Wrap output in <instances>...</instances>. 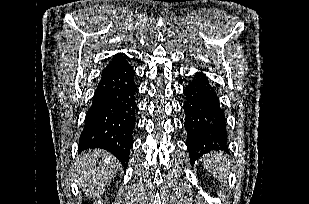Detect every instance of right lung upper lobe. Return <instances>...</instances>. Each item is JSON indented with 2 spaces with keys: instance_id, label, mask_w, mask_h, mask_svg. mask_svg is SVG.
Masks as SVG:
<instances>
[{
  "instance_id": "right-lung-upper-lobe-1",
  "label": "right lung upper lobe",
  "mask_w": 309,
  "mask_h": 204,
  "mask_svg": "<svg viewBox=\"0 0 309 204\" xmlns=\"http://www.w3.org/2000/svg\"><path fill=\"white\" fill-rule=\"evenodd\" d=\"M129 65L127 56L121 53L113 56L111 62L104 68L102 74Z\"/></svg>"
}]
</instances>
